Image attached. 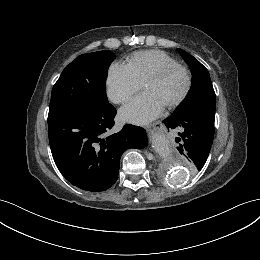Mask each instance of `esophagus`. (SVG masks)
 Masks as SVG:
<instances>
[{"mask_svg": "<svg viewBox=\"0 0 260 260\" xmlns=\"http://www.w3.org/2000/svg\"><path fill=\"white\" fill-rule=\"evenodd\" d=\"M159 130V122H155L152 126L149 127L150 132Z\"/></svg>", "mask_w": 260, "mask_h": 260, "instance_id": "esophagus-1", "label": "esophagus"}]
</instances>
